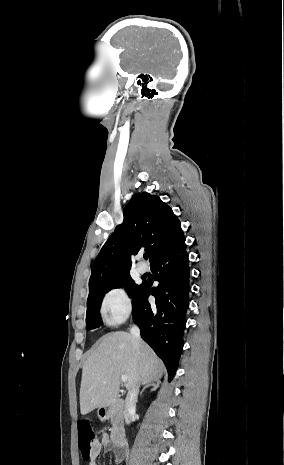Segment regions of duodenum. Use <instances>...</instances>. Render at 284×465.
Here are the masks:
<instances>
[{
    "instance_id": "duodenum-1",
    "label": "duodenum",
    "mask_w": 284,
    "mask_h": 465,
    "mask_svg": "<svg viewBox=\"0 0 284 465\" xmlns=\"http://www.w3.org/2000/svg\"><path fill=\"white\" fill-rule=\"evenodd\" d=\"M126 406L125 400L115 399L109 405L103 406L99 411L100 419L113 417L115 414L122 412ZM126 431L123 425L117 423L111 431V441L114 446L122 447L125 444Z\"/></svg>"
}]
</instances>
